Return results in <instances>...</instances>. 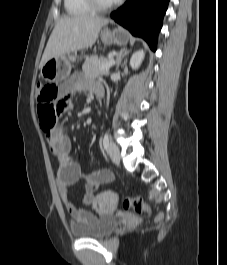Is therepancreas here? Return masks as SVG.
I'll use <instances>...</instances> for the list:
<instances>
[{
	"mask_svg": "<svg viewBox=\"0 0 227 265\" xmlns=\"http://www.w3.org/2000/svg\"><path fill=\"white\" fill-rule=\"evenodd\" d=\"M108 61V59H105L103 57L91 56L90 58H87L82 65L83 73L89 77L108 75L109 69H99L103 64L107 63Z\"/></svg>",
	"mask_w": 227,
	"mask_h": 265,
	"instance_id": "1",
	"label": "pancreas"
}]
</instances>
